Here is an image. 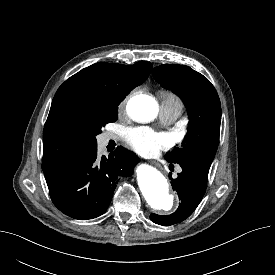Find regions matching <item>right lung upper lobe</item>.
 <instances>
[{"label":"right lung upper lobe","instance_id":"obj_1","mask_svg":"<svg viewBox=\"0 0 275 275\" xmlns=\"http://www.w3.org/2000/svg\"><path fill=\"white\" fill-rule=\"evenodd\" d=\"M152 67L146 61L128 66L99 62L68 78L53 98L44 127V175L53 172L84 149L68 131L66 115L74 111L89 112L117 107L132 89L147 79Z\"/></svg>","mask_w":275,"mask_h":275}]
</instances>
